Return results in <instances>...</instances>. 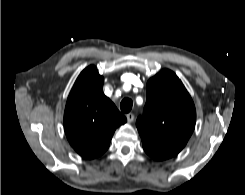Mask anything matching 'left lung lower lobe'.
Instances as JSON below:
<instances>
[{"label":"left lung lower lobe","mask_w":245,"mask_h":195,"mask_svg":"<svg viewBox=\"0 0 245 195\" xmlns=\"http://www.w3.org/2000/svg\"><path fill=\"white\" fill-rule=\"evenodd\" d=\"M143 148L149 156H151L152 158L156 160H166L174 156L173 154H170V153H164L158 150H154L144 144H143Z\"/></svg>","instance_id":"0a47b994"}]
</instances>
